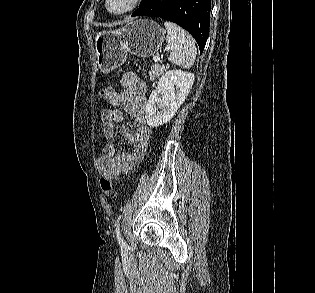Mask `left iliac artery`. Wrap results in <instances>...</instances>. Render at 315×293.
Returning <instances> with one entry per match:
<instances>
[{
    "mask_svg": "<svg viewBox=\"0 0 315 293\" xmlns=\"http://www.w3.org/2000/svg\"><path fill=\"white\" fill-rule=\"evenodd\" d=\"M115 233H116V237L121 248H126L127 245L120 234V221L119 220H117V222L115 223Z\"/></svg>",
    "mask_w": 315,
    "mask_h": 293,
    "instance_id": "left-iliac-artery-1",
    "label": "left iliac artery"
}]
</instances>
